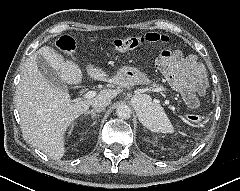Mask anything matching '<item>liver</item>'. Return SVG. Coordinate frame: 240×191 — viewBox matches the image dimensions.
<instances>
[{
    "label": "liver",
    "mask_w": 240,
    "mask_h": 191,
    "mask_svg": "<svg viewBox=\"0 0 240 191\" xmlns=\"http://www.w3.org/2000/svg\"><path fill=\"white\" fill-rule=\"evenodd\" d=\"M38 55L50 64L63 83H81L82 72L73 61L65 60L52 47L44 46L26 60L16 89L15 102L25 139L50 158L60 159L65 153L67 127L86 113L93 101L111 100L117 96L118 90L103 89L92 99L72 102L68 92L52 86L42 75L36 63ZM86 71L94 80L121 85L114 76L91 64L86 66Z\"/></svg>",
    "instance_id": "6515ba94"
}]
</instances>
